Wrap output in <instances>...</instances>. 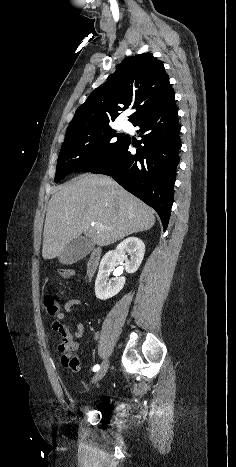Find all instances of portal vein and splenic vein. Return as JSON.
I'll list each match as a JSON object with an SVG mask.
<instances>
[{"label": "portal vein and splenic vein", "mask_w": 236, "mask_h": 467, "mask_svg": "<svg viewBox=\"0 0 236 467\" xmlns=\"http://www.w3.org/2000/svg\"><path fill=\"white\" fill-rule=\"evenodd\" d=\"M97 227H98L99 229H102V228H103V225H102V224H99Z\"/></svg>", "instance_id": "portal-vein-and-splenic-vein-1"}]
</instances>
